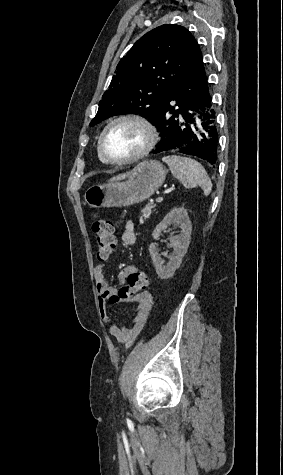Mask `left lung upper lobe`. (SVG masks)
I'll return each mask as SVG.
<instances>
[{
  "instance_id": "1",
  "label": "left lung upper lobe",
  "mask_w": 283,
  "mask_h": 475,
  "mask_svg": "<svg viewBox=\"0 0 283 475\" xmlns=\"http://www.w3.org/2000/svg\"><path fill=\"white\" fill-rule=\"evenodd\" d=\"M201 65L200 47L186 28L165 24L149 31L120 60L90 126L119 114L154 123L169 90Z\"/></svg>"
}]
</instances>
